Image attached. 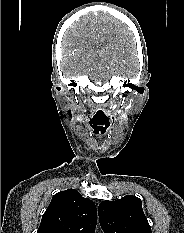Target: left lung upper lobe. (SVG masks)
<instances>
[{
    "label": "left lung upper lobe",
    "mask_w": 184,
    "mask_h": 233,
    "mask_svg": "<svg viewBox=\"0 0 184 233\" xmlns=\"http://www.w3.org/2000/svg\"><path fill=\"white\" fill-rule=\"evenodd\" d=\"M104 233H152L139 198L126 195L116 201H102L98 208Z\"/></svg>",
    "instance_id": "1"
}]
</instances>
